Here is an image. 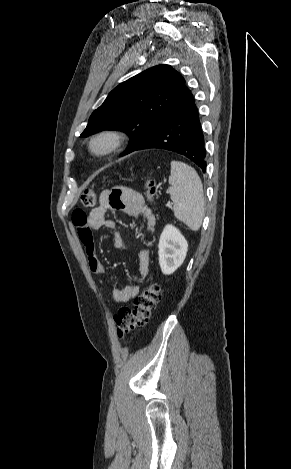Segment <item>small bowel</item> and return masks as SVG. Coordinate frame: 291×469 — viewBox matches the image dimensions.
<instances>
[{"instance_id": "c3829d8e", "label": "small bowel", "mask_w": 291, "mask_h": 469, "mask_svg": "<svg viewBox=\"0 0 291 469\" xmlns=\"http://www.w3.org/2000/svg\"><path fill=\"white\" fill-rule=\"evenodd\" d=\"M109 210L121 211L135 218L143 216L146 218L149 228L154 224V217L145 206L143 196L129 187H116L103 191L99 205L92 209L89 214L80 210L75 211L72 221L85 248L88 267L96 275H103L105 270L96 254L92 235L93 230L105 227L114 233V246L116 248H126L127 246L118 231L116 222L106 218V213ZM82 232L85 234H82ZM148 273L149 252L147 249H142L139 253V281H133L123 288H115L113 290L114 300L118 303H124L134 298L139 292L140 284L145 281Z\"/></svg>"}]
</instances>
